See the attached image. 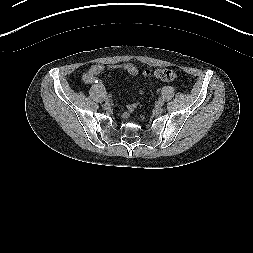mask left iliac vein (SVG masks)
<instances>
[{"instance_id": "left-iliac-vein-1", "label": "left iliac vein", "mask_w": 253, "mask_h": 253, "mask_svg": "<svg viewBox=\"0 0 253 253\" xmlns=\"http://www.w3.org/2000/svg\"><path fill=\"white\" fill-rule=\"evenodd\" d=\"M162 105H163V103H161V104H158V103H157V106H158V107H161Z\"/></svg>"}]
</instances>
